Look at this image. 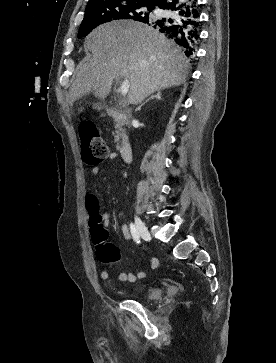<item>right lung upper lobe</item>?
Masks as SVG:
<instances>
[{
  "label": "right lung upper lobe",
  "instance_id": "right-lung-upper-lobe-1",
  "mask_svg": "<svg viewBox=\"0 0 276 363\" xmlns=\"http://www.w3.org/2000/svg\"><path fill=\"white\" fill-rule=\"evenodd\" d=\"M100 1H105V0H89L88 5H91L95 2H100ZM126 1L143 2V3L148 4L149 6L155 7V6H159L164 0H126ZM146 20H148V19H145L143 21H146Z\"/></svg>",
  "mask_w": 276,
  "mask_h": 363
}]
</instances>
